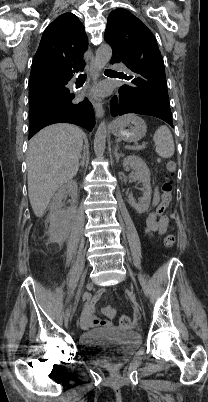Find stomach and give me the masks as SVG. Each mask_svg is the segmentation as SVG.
Instances as JSON below:
<instances>
[{"instance_id": "stomach-1", "label": "stomach", "mask_w": 208, "mask_h": 402, "mask_svg": "<svg viewBox=\"0 0 208 402\" xmlns=\"http://www.w3.org/2000/svg\"><path fill=\"white\" fill-rule=\"evenodd\" d=\"M110 130L114 136H118L124 142H138L146 134V124L136 114H125L111 124Z\"/></svg>"}]
</instances>
